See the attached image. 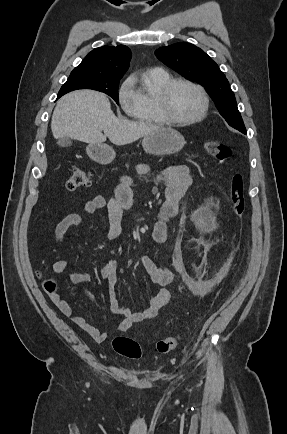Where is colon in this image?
<instances>
[{
	"label": "colon",
	"mask_w": 287,
	"mask_h": 434,
	"mask_svg": "<svg viewBox=\"0 0 287 434\" xmlns=\"http://www.w3.org/2000/svg\"><path fill=\"white\" fill-rule=\"evenodd\" d=\"M208 154L218 161H228L232 152L229 147L218 141H207L204 144ZM92 180L90 172L84 168H75L72 175L66 183V187L70 191H75L87 187ZM229 198L231 203V211L233 215L240 218L245 211V196H244V180L241 174L235 173L231 178ZM44 289L50 295H55L57 285L53 280L47 279L44 281ZM180 340L179 335H172L156 343V350L165 354L172 351ZM114 350L121 356L130 359H138L141 357V347L137 341L126 336H117L113 340Z\"/></svg>",
	"instance_id": "5ec220e1"
}]
</instances>
